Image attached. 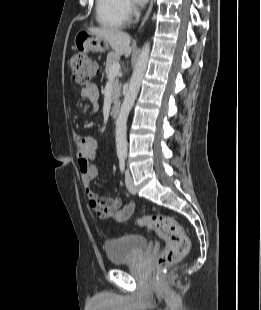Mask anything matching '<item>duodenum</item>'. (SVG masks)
<instances>
[{
    "mask_svg": "<svg viewBox=\"0 0 261 310\" xmlns=\"http://www.w3.org/2000/svg\"><path fill=\"white\" fill-rule=\"evenodd\" d=\"M120 111V105L118 103H114L111 107L110 115L113 119L117 118Z\"/></svg>",
    "mask_w": 261,
    "mask_h": 310,
    "instance_id": "1",
    "label": "duodenum"
}]
</instances>
